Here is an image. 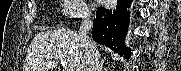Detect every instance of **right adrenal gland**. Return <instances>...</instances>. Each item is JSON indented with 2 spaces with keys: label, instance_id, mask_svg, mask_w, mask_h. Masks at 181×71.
Returning <instances> with one entry per match:
<instances>
[{
  "label": "right adrenal gland",
  "instance_id": "right-adrenal-gland-1",
  "mask_svg": "<svg viewBox=\"0 0 181 71\" xmlns=\"http://www.w3.org/2000/svg\"><path fill=\"white\" fill-rule=\"evenodd\" d=\"M103 63H104V61L102 60L101 61V71H102V68H103Z\"/></svg>",
  "mask_w": 181,
  "mask_h": 71
}]
</instances>
